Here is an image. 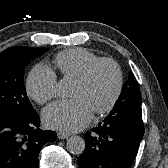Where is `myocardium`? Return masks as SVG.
Returning a JSON list of instances; mask_svg holds the SVG:
<instances>
[{
  "label": "myocardium",
  "instance_id": "myocardium-1",
  "mask_svg": "<svg viewBox=\"0 0 168 168\" xmlns=\"http://www.w3.org/2000/svg\"><path fill=\"white\" fill-rule=\"evenodd\" d=\"M103 64L110 65L114 69L115 85L109 100L103 106L94 109V112L97 114H105L110 112L115 107L121 95L123 87V74L120 65L112 58L108 57L98 58L97 60L89 64L87 68L84 70V72L76 78V81L81 84L89 82L96 69Z\"/></svg>",
  "mask_w": 168,
  "mask_h": 168
}]
</instances>
